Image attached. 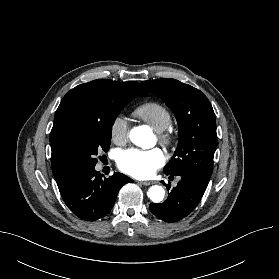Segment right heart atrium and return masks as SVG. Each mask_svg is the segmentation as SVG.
<instances>
[{
  "instance_id": "right-heart-atrium-1",
  "label": "right heart atrium",
  "mask_w": 279,
  "mask_h": 279,
  "mask_svg": "<svg viewBox=\"0 0 279 279\" xmlns=\"http://www.w3.org/2000/svg\"><path fill=\"white\" fill-rule=\"evenodd\" d=\"M109 133L113 143L117 145L124 144L129 136L128 119L122 114L114 116L110 123Z\"/></svg>"
}]
</instances>
